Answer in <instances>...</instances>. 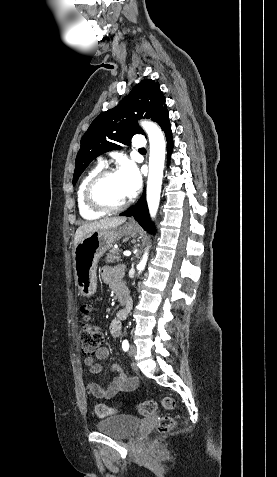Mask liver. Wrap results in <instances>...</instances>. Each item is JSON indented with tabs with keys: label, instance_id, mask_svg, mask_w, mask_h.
<instances>
[{
	"label": "liver",
	"instance_id": "liver-1",
	"mask_svg": "<svg viewBox=\"0 0 277 477\" xmlns=\"http://www.w3.org/2000/svg\"><path fill=\"white\" fill-rule=\"evenodd\" d=\"M126 221V217L104 218L80 226L75 233L74 245L76 246L83 236L99 229L117 228Z\"/></svg>",
	"mask_w": 277,
	"mask_h": 477
}]
</instances>
